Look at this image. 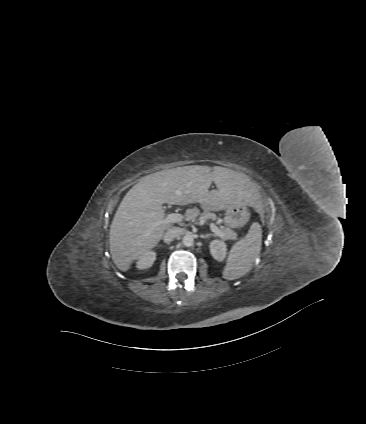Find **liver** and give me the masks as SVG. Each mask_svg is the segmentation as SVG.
Masks as SVG:
<instances>
[{
    "label": "liver",
    "instance_id": "liver-1",
    "mask_svg": "<svg viewBox=\"0 0 366 424\" xmlns=\"http://www.w3.org/2000/svg\"><path fill=\"white\" fill-rule=\"evenodd\" d=\"M212 182L217 189L209 190ZM199 203L206 211H221L232 205L253 207L263 213L261 196L243 173L224 167L184 166L144 177L121 201L110 227V253L123 272L145 252L154 248L170 224L163 204Z\"/></svg>",
    "mask_w": 366,
    "mask_h": 424
}]
</instances>
